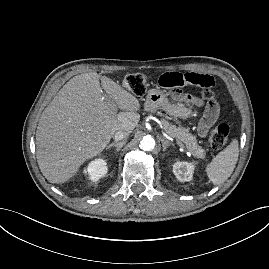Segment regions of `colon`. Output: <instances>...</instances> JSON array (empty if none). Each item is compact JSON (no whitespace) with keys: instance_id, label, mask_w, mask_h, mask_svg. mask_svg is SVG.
Instances as JSON below:
<instances>
[{"instance_id":"obj_1","label":"colon","mask_w":269,"mask_h":269,"mask_svg":"<svg viewBox=\"0 0 269 269\" xmlns=\"http://www.w3.org/2000/svg\"><path fill=\"white\" fill-rule=\"evenodd\" d=\"M147 84H148V77L147 75L142 74V73L129 74L124 78V81H123V86L128 91L139 96L145 94L146 89H147ZM201 97L203 100L209 101L213 104H218L222 100L221 93L215 89H210V88L203 89L201 92ZM228 134H229V127L227 124H219L212 127L208 134V140L211 147L215 150L221 149L228 140Z\"/></svg>"}]
</instances>
